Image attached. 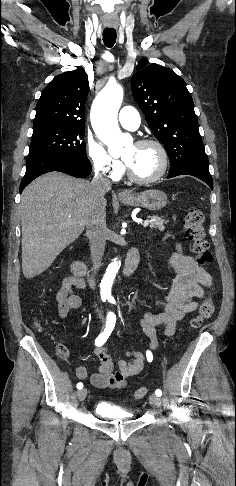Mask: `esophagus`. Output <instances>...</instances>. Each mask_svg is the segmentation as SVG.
Here are the masks:
<instances>
[{"instance_id": "esophagus-1", "label": "esophagus", "mask_w": 236, "mask_h": 486, "mask_svg": "<svg viewBox=\"0 0 236 486\" xmlns=\"http://www.w3.org/2000/svg\"><path fill=\"white\" fill-rule=\"evenodd\" d=\"M130 194L127 191H119L118 196L119 197H128Z\"/></svg>"}]
</instances>
